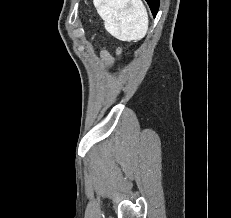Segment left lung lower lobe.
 <instances>
[{
	"label": "left lung lower lobe",
	"instance_id": "left-lung-lower-lobe-1",
	"mask_svg": "<svg viewBox=\"0 0 231 218\" xmlns=\"http://www.w3.org/2000/svg\"><path fill=\"white\" fill-rule=\"evenodd\" d=\"M146 1L148 2V5L150 6L153 16L155 17L158 12V8H159V0H146Z\"/></svg>",
	"mask_w": 231,
	"mask_h": 218
}]
</instances>
